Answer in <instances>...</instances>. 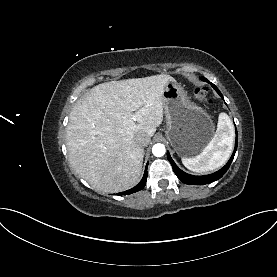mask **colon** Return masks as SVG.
<instances>
[{
  "instance_id": "5ec220e1",
  "label": "colon",
  "mask_w": 277,
  "mask_h": 277,
  "mask_svg": "<svg viewBox=\"0 0 277 277\" xmlns=\"http://www.w3.org/2000/svg\"><path fill=\"white\" fill-rule=\"evenodd\" d=\"M193 96L196 100L204 103H211V100L208 99L207 90L204 87H194Z\"/></svg>"
}]
</instances>
